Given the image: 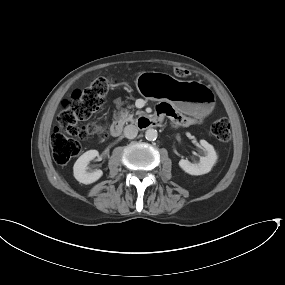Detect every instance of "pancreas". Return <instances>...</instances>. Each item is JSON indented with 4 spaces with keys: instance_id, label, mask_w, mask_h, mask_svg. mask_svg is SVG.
Returning <instances> with one entry per match:
<instances>
[{
    "instance_id": "obj_1",
    "label": "pancreas",
    "mask_w": 285,
    "mask_h": 285,
    "mask_svg": "<svg viewBox=\"0 0 285 285\" xmlns=\"http://www.w3.org/2000/svg\"><path fill=\"white\" fill-rule=\"evenodd\" d=\"M128 108H131V107H128ZM140 114H142L141 111L136 112V115H140ZM133 116L134 114L131 113L130 110L127 108H122L118 113L119 121L123 124L128 123V122L135 123L137 120L134 119Z\"/></svg>"
}]
</instances>
